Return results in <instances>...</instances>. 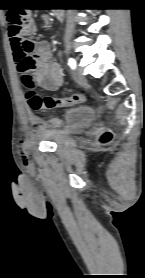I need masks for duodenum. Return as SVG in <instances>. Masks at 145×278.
Wrapping results in <instances>:
<instances>
[{
	"label": "duodenum",
	"instance_id": "duodenum-1",
	"mask_svg": "<svg viewBox=\"0 0 145 278\" xmlns=\"http://www.w3.org/2000/svg\"><path fill=\"white\" fill-rule=\"evenodd\" d=\"M54 18H55L56 20L61 21V20L63 19V12H62V10L56 9V10H55V13H54Z\"/></svg>",
	"mask_w": 145,
	"mask_h": 278
}]
</instances>
